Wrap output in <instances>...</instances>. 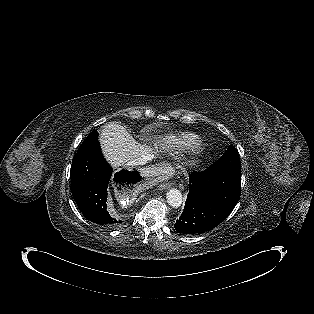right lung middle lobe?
Masks as SVG:
<instances>
[{"mask_svg":"<svg viewBox=\"0 0 314 314\" xmlns=\"http://www.w3.org/2000/svg\"><path fill=\"white\" fill-rule=\"evenodd\" d=\"M97 142H98V132L96 130H94L83 141V143L79 147L77 153L82 152L88 148H91Z\"/></svg>","mask_w":314,"mask_h":314,"instance_id":"obj_1","label":"right lung middle lobe"}]
</instances>
